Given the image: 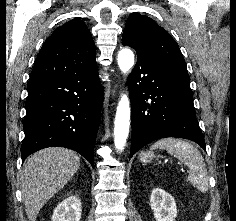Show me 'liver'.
Returning a JSON list of instances; mask_svg holds the SVG:
<instances>
[{
	"label": "liver",
	"mask_w": 236,
	"mask_h": 221,
	"mask_svg": "<svg viewBox=\"0 0 236 221\" xmlns=\"http://www.w3.org/2000/svg\"><path fill=\"white\" fill-rule=\"evenodd\" d=\"M79 167L77 153L61 147L42 149L27 159L21 175V191L29 221H36L41 208Z\"/></svg>",
	"instance_id": "1"
}]
</instances>
